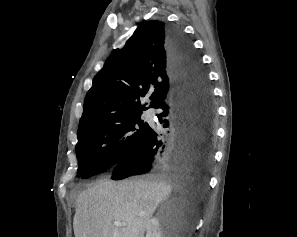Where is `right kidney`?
Listing matches in <instances>:
<instances>
[{
  "label": "right kidney",
  "instance_id": "obj_1",
  "mask_svg": "<svg viewBox=\"0 0 297 237\" xmlns=\"http://www.w3.org/2000/svg\"><path fill=\"white\" fill-rule=\"evenodd\" d=\"M146 237H166L169 235H166L161 226L160 222L157 218H152L147 225L146 228Z\"/></svg>",
  "mask_w": 297,
  "mask_h": 237
}]
</instances>
